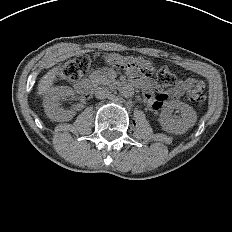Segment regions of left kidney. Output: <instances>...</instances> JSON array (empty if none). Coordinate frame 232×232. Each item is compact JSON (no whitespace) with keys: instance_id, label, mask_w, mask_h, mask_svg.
Segmentation results:
<instances>
[{"instance_id":"left-kidney-1","label":"left kidney","mask_w":232,"mask_h":232,"mask_svg":"<svg viewBox=\"0 0 232 232\" xmlns=\"http://www.w3.org/2000/svg\"><path fill=\"white\" fill-rule=\"evenodd\" d=\"M174 110L181 113V117L173 116ZM197 121L195 110L182 101H172L163 108L159 122L164 131L170 134H184L192 128Z\"/></svg>"}]
</instances>
